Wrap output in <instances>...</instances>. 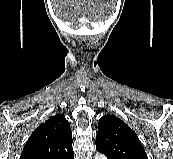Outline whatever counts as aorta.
<instances>
[{
    "instance_id": "aorta-1",
    "label": "aorta",
    "mask_w": 173,
    "mask_h": 159,
    "mask_svg": "<svg viewBox=\"0 0 173 159\" xmlns=\"http://www.w3.org/2000/svg\"><path fill=\"white\" fill-rule=\"evenodd\" d=\"M94 159H107L103 154H96Z\"/></svg>"
}]
</instances>
